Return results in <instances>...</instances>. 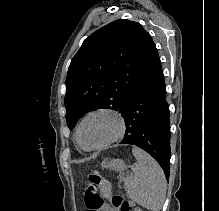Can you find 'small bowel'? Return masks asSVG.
<instances>
[{"label": "small bowel", "mask_w": 219, "mask_h": 211, "mask_svg": "<svg viewBox=\"0 0 219 211\" xmlns=\"http://www.w3.org/2000/svg\"><path fill=\"white\" fill-rule=\"evenodd\" d=\"M85 204L88 211H113V209L105 203L99 193L91 189L85 194Z\"/></svg>", "instance_id": "small-bowel-1"}]
</instances>
